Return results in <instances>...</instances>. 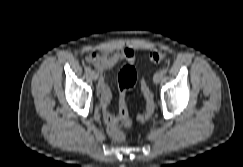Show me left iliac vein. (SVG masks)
I'll return each instance as SVG.
<instances>
[{
  "label": "left iliac vein",
  "mask_w": 243,
  "mask_h": 167,
  "mask_svg": "<svg viewBox=\"0 0 243 167\" xmlns=\"http://www.w3.org/2000/svg\"><path fill=\"white\" fill-rule=\"evenodd\" d=\"M163 79L162 72L158 71L154 74L153 81L157 84Z\"/></svg>",
  "instance_id": "4c4485c4"
}]
</instances>
